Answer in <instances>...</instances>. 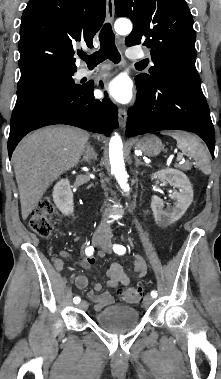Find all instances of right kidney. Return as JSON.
I'll return each mask as SVG.
<instances>
[{
    "label": "right kidney",
    "mask_w": 221,
    "mask_h": 379,
    "mask_svg": "<svg viewBox=\"0 0 221 379\" xmlns=\"http://www.w3.org/2000/svg\"><path fill=\"white\" fill-rule=\"evenodd\" d=\"M53 201L57 208L64 215H71L74 211L73 193L70 182L66 179H61L56 183L53 189Z\"/></svg>",
    "instance_id": "obj_1"
}]
</instances>
